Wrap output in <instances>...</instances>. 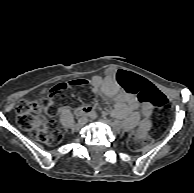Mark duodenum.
I'll return each instance as SVG.
<instances>
[{"mask_svg": "<svg viewBox=\"0 0 194 193\" xmlns=\"http://www.w3.org/2000/svg\"><path fill=\"white\" fill-rule=\"evenodd\" d=\"M88 114H89L90 116H95V113L92 112V111L88 112Z\"/></svg>", "mask_w": 194, "mask_h": 193, "instance_id": "410a0bca", "label": "duodenum"}]
</instances>
